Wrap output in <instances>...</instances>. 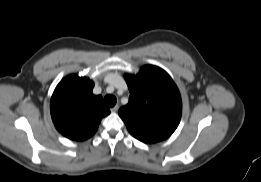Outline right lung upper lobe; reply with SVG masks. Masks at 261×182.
Listing matches in <instances>:
<instances>
[{
  "label": "right lung upper lobe",
  "instance_id": "right-lung-upper-lobe-1",
  "mask_svg": "<svg viewBox=\"0 0 261 182\" xmlns=\"http://www.w3.org/2000/svg\"><path fill=\"white\" fill-rule=\"evenodd\" d=\"M94 82L75 74L65 77L51 98L50 112L56 129L65 137L83 141L95 134L108 114L100 95H94Z\"/></svg>",
  "mask_w": 261,
  "mask_h": 182
}]
</instances>
